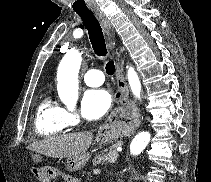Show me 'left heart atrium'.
<instances>
[{
    "instance_id": "left-heart-atrium-1",
    "label": "left heart atrium",
    "mask_w": 211,
    "mask_h": 182,
    "mask_svg": "<svg viewBox=\"0 0 211 182\" xmlns=\"http://www.w3.org/2000/svg\"><path fill=\"white\" fill-rule=\"evenodd\" d=\"M111 104L112 97L107 90H88L82 99L83 116L88 120H98L108 112Z\"/></svg>"
}]
</instances>
